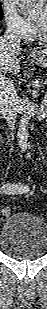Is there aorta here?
<instances>
[{"label":"aorta","mask_w":47,"mask_h":309,"mask_svg":"<svg viewBox=\"0 0 47 309\" xmlns=\"http://www.w3.org/2000/svg\"><path fill=\"white\" fill-rule=\"evenodd\" d=\"M17 2H20L26 7L30 8L33 0H17ZM32 114H33L32 107L30 104H28L24 108L23 115L19 122L18 141L22 151H25L28 147V136H29L28 126H29V119L31 118Z\"/></svg>","instance_id":"obj_1"}]
</instances>
